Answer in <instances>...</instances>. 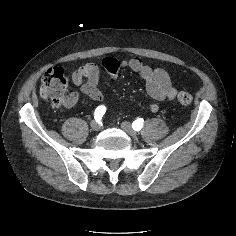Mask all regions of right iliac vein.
<instances>
[{"label":"right iliac vein","mask_w":236,"mask_h":236,"mask_svg":"<svg viewBox=\"0 0 236 236\" xmlns=\"http://www.w3.org/2000/svg\"><path fill=\"white\" fill-rule=\"evenodd\" d=\"M90 126L92 128L93 131H99L100 130V124L93 120L91 123H90Z\"/></svg>","instance_id":"63e3f726"}]
</instances>
